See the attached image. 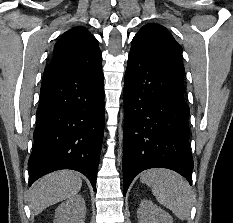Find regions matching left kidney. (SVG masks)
Listing matches in <instances>:
<instances>
[{"label":"left kidney","mask_w":233,"mask_h":223,"mask_svg":"<svg viewBox=\"0 0 233 223\" xmlns=\"http://www.w3.org/2000/svg\"><path fill=\"white\" fill-rule=\"evenodd\" d=\"M138 223H173L168 211L161 209L159 205L150 199H141L137 209Z\"/></svg>","instance_id":"5707ae66"}]
</instances>
